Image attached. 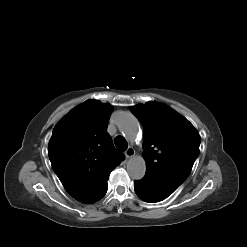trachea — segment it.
I'll use <instances>...</instances> for the list:
<instances>
[{"label": "trachea", "mask_w": 247, "mask_h": 247, "mask_svg": "<svg viewBox=\"0 0 247 247\" xmlns=\"http://www.w3.org/2000/svg\"><path fill=\"white\" fill-rule=\"evenodd\" d=\"M115 146L120 151H125L127 149V147H128V143H127V141H126V139L124 137L118 136L115 139Z\"/></svg>", "instance_id": "trachea-1"}]
</instances>
